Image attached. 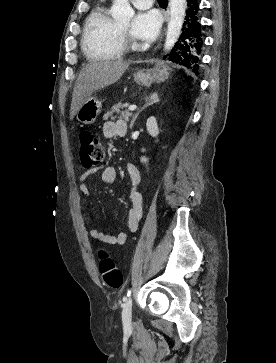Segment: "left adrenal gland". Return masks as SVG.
Segmentation results:
<instances>
[{
  "instance_id": "a2214340",
  "label": "left adrenal gland",
  "mask_w": 276,
  "mask_h": 363,
  "mask_svg": "<svg viewBox=\"0 0 276 363\" xmlns=\"http://www.w3.org/2000/svg\"><path fill=\"white\" fill-rule=\"evenodd\" d=\"M146 104L135 114V116L133 117L131 124H130V129H132L135 120L137 119L138 115L140 114V112H142L145 108H147L150 105H153L154 103L159 102V96L157 93H153L151 94L149 97L145 98Z\"/></svg>"
}]
</instances>
